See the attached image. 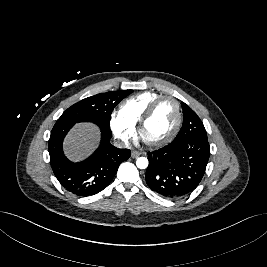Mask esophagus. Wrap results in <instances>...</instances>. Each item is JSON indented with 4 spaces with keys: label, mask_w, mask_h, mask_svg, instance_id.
Segmentation results:
<instances>
[{
    "label": "esophagus",
    "mask_w": 267,
    "mask_h": 267,
    "mask_svg": "<svg viewBox=\"0 0 267 267\" xmlns=\"http://www.w3.org/2000/svg\"><path fill=\"white\" fill-rule=\"evenodd\" d=\"M139 156H140V152H138V151H136V150L132 151V153H131V157H132V158L136 159V158H138Z\"/></svg>",
    "instance_id": "1"
}]
</instances>
